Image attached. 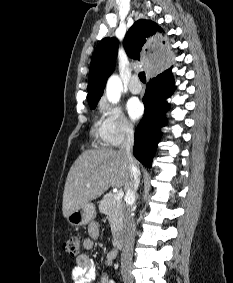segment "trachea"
<instances>
[{
	"instance_id": "3493384b",
	"label": "trachea",
	"mask_w": 233,
	"mask_h": 283,
	"mask_svg": "<svg viewBox=\"0 0 233 283\" xmlns=\"http://www.w3.org/2000/svg\"><path fill=\"white\" fill-rule=\"evenodd\" d=\"M139 79L141 80V82L146 83L145 72L139 73Z\"/></svg>"
}]
</instances>
